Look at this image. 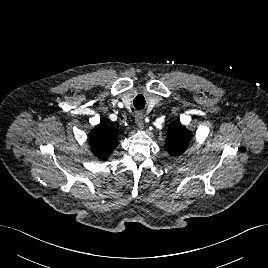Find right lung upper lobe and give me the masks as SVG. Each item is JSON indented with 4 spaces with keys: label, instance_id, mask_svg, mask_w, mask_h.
Listing matches in <instances>:
<instances>
[{
    "label": "right lung upper lobe",
    "instance_id": "right-lung-upper-lobe-1",
    "mask_svg": "<svg viewBox=\"0 0 268 268\" xmlns=\"http://www.w3.org/2000/svg\"><path fill=\"white\" fill-rule=\"evenodd\" d=\"M119 132L107 125H97L89 135L93 154L101 160H106L118 145Z\"/></svg>",
    "mask_w": 268,
    "mask_h": 268
}]
</instances>
